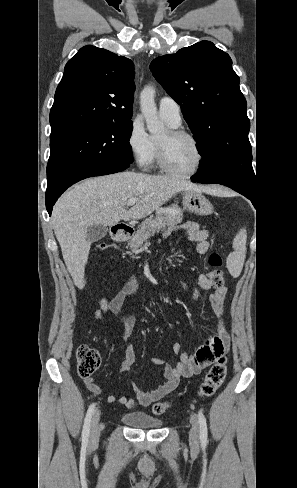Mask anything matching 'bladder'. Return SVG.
Wrapping results in <instances>:
<instances>
[{
	"mask_svg": "<svg viewBox=\"0 0 297 488\" xmlns=\"http://www.w3.org/2000/svg\"><path fill=\"white\" fill-rule=\"evenodd\" d=\"M123 423L136 429H157L162 426V422L144 412H128L121 417Z\"/></svg>",
	"mask_w": 297,
	"mask_h": 488,
	"instance_id": "obj_1",
	"label": "bladder"
}]
</instances>
